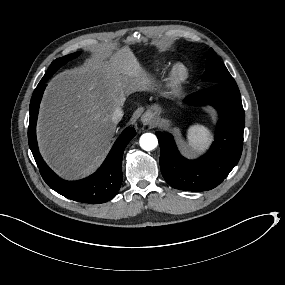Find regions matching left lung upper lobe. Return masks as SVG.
Returning a JSON list of instances; mask_svg holds the SVG:
<instances>
[{"mask_svg": "<svg viewBox=\"0 0 285 285\" xmlns=\"http://www.w3.org/2000/svg\"><path fill=\"white\" fill-rule=\"evenodd\" d=\"M202 80L212 84L236 83L212 48L207 54L206 71L202 76Z\"/></svg>", "mask_w": 285, "mask_h": 285, "instance_id": "left-lung-upper-lobe-1", "label": "left lung upper lobe"}]
</instances>
